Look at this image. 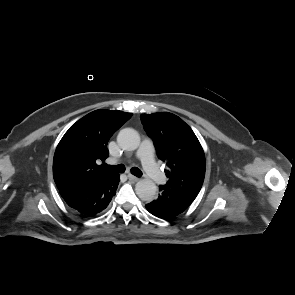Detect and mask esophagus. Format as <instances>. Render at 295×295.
I'll return each mask as SVG.
<instances>
[{
  "instance_id": "34e87169",
  "label": "esophagus",
  "mask_w": 295,
  "mask_h": 295,
  "mask_svg": "<svg viewBox=\"0 0 295 295\" xmlns=\"http://www.w3.org/2000/svg\"><path fill=\"white\" fill-rule=\"evenodd\" d=\"M128 179H129L130 181H132V182H137V181H139V178L136 177V176H134V175H132V174H128Z\"/></svg>"
}]
</instances>
